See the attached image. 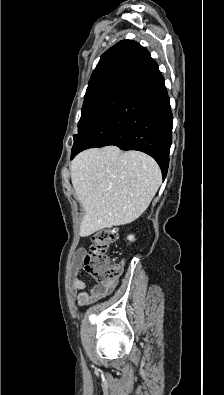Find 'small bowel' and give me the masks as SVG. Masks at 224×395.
<instances>
[{
  "label": "small bowel",
  "mask_w": 224,
  "mask_h": 395,
  "mask_svg": "<svg viewBox=\"0 0 224 395\" xmlns=\"http://www.w3.org/2000/svg\"><path fill=\"white\" fill-rule=\"evenodd\" d=\"M85 248L76 252L70 269V290L79 305H86L97 301L99 298L110 294L116 287L117 282L98 284L87 288L82 279V261L85 256Z\"/></svg>",
  "instance_id": "obj_1"
}]
</instances>
